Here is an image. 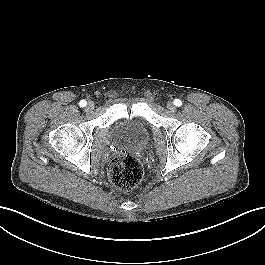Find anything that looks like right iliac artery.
<instances>
[{"mask_svg": "<svg viewBox=\"0 0 265 265\" xmlns=\"http://www.w3.org/2000/svg\"><path fill=\"white\" fill-rule=\"evenodd\" d=\"M79 105H80L81 107H85V106L87 105V102H86L85 100H81V101L79 102Z\"/></svg>", "mask_w": 265, "mask_h": 265, "instance_id": "right-iliac-artery-1", "label": "right iliac artery"}]
</instances>
